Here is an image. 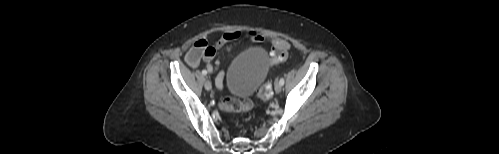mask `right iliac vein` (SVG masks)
Here are the masks:
<instances>
[{
    "label": "right iliac vein",
    "instance_id": "right-iliac-vein-1",
    "mask_svg": "<svg viewBox=\"0 0 499 154\" xmlns=\"http://www.w3.org/2000/svg\"><path fill=\"white\" fill-rule=\"evenodd\" d=\"M204 86H205V89H206L207 91H210V90H211V88H212L211 82H210L209 80H206V81H205Z\"/></svg>",
    "mask_w": 499,
    "mask_h": 154
}]
</instances>
